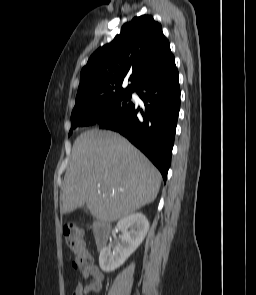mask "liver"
Returning <instances> with one entry per match:
<instances>
[{"label": "liver", "instance_id": "1", "mask_svg": "<svg viewBox=\"0 0 256 295\" xmlns=\"http://www.w3.org/2000/svg\"><path fill=\"white\" fill-rule=\"evenodd\" d=\"M161 174L127 139L106 130L83 132L74 142L62 185L61 213L86 204L101 221H116L152 203Z\"/></svg>", "mask_w": 256, "mask_h": 295}]
</instances>
